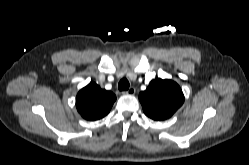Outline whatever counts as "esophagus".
Returning a JSON list of instances; mask_svg holds the SVG:
<instances>
[{
  "mask_svg": "<svg viewBox=\"0 0 249 165\" xmlns=\"http://www.w3.org/2000/svg\"><path fill=\"white\" fill-rule=\"evenodd\" d=\"M136 92V89L134 87H130L127 91L123 92L124 94L127 95H134Z\"/></svg>",
  "mask_w": 249,
  "mask_h": 165,
  "instance_id": "esophagus-1",
  "label": "esophagus"
}]
</instances>
